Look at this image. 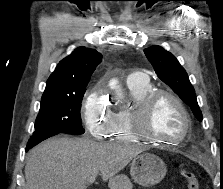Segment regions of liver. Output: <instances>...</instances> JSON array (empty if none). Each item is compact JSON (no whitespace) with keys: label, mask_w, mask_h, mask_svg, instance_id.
Returning a JSON list of instances; mask_svg holds the SVG:
<instances>
[{"label":"liver","mask_w":223,"mask_h":189,"mask_svg":"<svg viewBox=\"0 0 223 189\" xmlns=\"http://www.w3.org/2000/svg\"><path fill=\"white\" fill-rule=\"evenodd\" d=\"M143 148L135 144L98 143L88 138L53 137L30 150L25 189H86L99 173L112 189L116 176Z\"/></svg>","instance_id":"1"}]
</instances>
